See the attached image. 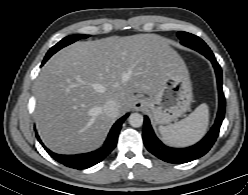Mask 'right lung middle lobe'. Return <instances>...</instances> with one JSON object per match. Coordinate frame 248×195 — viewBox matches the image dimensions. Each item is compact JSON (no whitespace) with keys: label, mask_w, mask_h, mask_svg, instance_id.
I'll return each mask as SVG.
<instances>
[{"label":"right lung middle lobe","mask_w":248,"mask_h":195,"mask_svg":"<svg viewBox=\"0 0 248 195\" xmlns=\"http://www.w3.org/2000/svg\"><path fill=\"white\" fill-rule=\"evenodd\" d=\"M89 35H83V34H77V35H71L63 38L60 42H58L55 46H53L48 53L46 54L44 58V62L47 61L54 53H56L58 50L62 49L63 47L77 41L83 38H87Z\"/></svg>","instance_id":"dd1d6c3e"}]
</instances>
